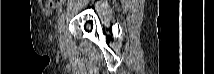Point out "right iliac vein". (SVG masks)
Listing matches in <instances>:
<instances>
[{
    "label": "right iliac vein",
    "mask_w": 214,
    "mask_h": 74,
    "mask_svg": "<svg viewBox=\"0 0 214 74\" xmlns=\"http://www.w3.org/2000/svg\"><path fill=\"white\" fill-rule=\"evenodd\" d=\"M64 32H65V26H64V22H62V24L59 28V34H60V41L61 42L65 39Z\"/></svg>",
    "instance_id": "63e3f726"
}]
</instances>
